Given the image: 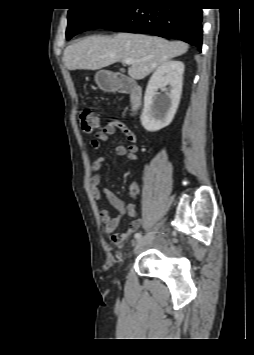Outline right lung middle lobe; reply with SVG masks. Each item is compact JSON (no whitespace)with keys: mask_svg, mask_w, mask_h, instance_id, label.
<instances>
[{"mask_svg":"<svg viewBox=\"0 0 254 355\" xmlns=\"http://www.w3.org/2000/svg\"><path fill=\"white\" fill-rule=\"evenodd\" d=\"M133 1L90 0L86 6L71 8L68 12L66 38L70 39L78 33L101 28Z\"/></svg>","mask_w":254,"mask_h":355,"instance_id":"1","label":"right lung middle lobe"}]
</instances>
